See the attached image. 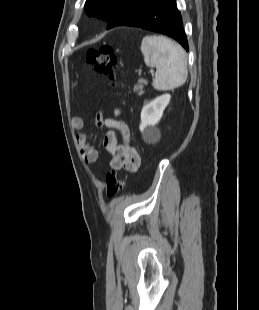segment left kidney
Masks as SVG:
<instances>
[{
    "label": "left kidney",
    "mask_w": 259,
    "mask_h": 310,
    "mask_svg": "<svg viewBox=\"0 0 259 310\" xmlns=\"http://www.w3.org/2000/svg\"><path fill=\"white\" fill-rule=\"evenodd\" d=\"M170 99V94H164L155 98L142 108L141 124L139 128L145 140H148L149 129L160 121L163 111L169 104Z\"/></svg>",
    "instance_id": "obj_1"
}]
</instances>
